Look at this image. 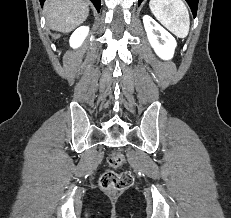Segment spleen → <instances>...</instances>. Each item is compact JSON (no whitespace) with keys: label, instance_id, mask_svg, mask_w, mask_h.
Here are the masks:
<instances>
[{"label":"spleen","instance_id":"1","mask_svg":"<svg viewBox=\"0 0 231 218\" xmlns=\"http://www.w3.org/2000/svg\"><path fill=\"white\" fill-rule=\"evenodd\" d=\"M149 7L154 16L177 37L188 35L189 12L182 0H150Z\"/></svg>","mask_w":231,"mask_h":218}]
</instances>
